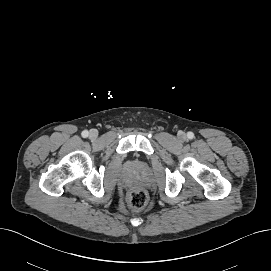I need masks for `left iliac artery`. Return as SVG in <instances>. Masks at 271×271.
I'll list each match as a JSON object with an SVG mask.
<instances>
[{
	"label": "left iliac artery",
	"mask_w": 271,
	"mask_h": 271,
	"mask_svg": "<svg viewBox=\"0 0 271 271\" xmlns=\"http://www.w3.org/2000/svg\"><path fill=\"white\" fill-rule=\"evenodd\" d=\"M187 137H188L189 139H193V138H194L193 132H188V133H187Z\"/></svg>",
	"instance_id": "1"
}]
</instances>
